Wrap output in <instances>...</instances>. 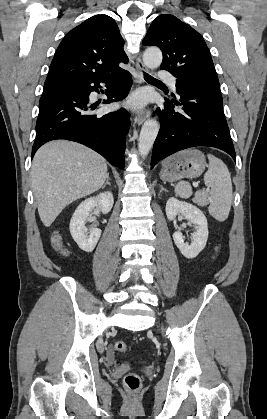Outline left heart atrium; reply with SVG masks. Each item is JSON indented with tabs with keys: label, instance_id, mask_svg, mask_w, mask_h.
<instances>
[{
	"label": "left heart atrium",
	"instance_id": "obj_1",
	"mask_svg": "<svg viewBox=\"0 0 267 419\" xmlns=\"http://www.w3.org/2000/svg\"><path fill=\"white\" fill-rule=\"evenodd\" d=\"M144 102L145 96L143 94H136L130 99L129 104L133 107H140Z\"/></svg>",
	"mask_w": 267,
	"mask_h": 419
}]
</instances>
